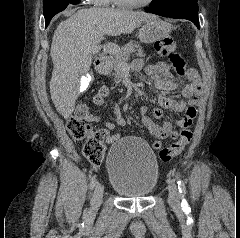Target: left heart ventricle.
Instances as JSON below:
<instances>
[{"label": "left heart ventricle", "instance_id": "obj_1", "mask_svg": "<svg viewBox=\"0 0 240 238\" xmlns=\"http://www.w3.org/2000/svg\"><path fill=\"white\" fill-rule=\"evenodd\" d=\"M125 1L140 3V2H144V1H146V0H125Z\"/></svg>", "mask_w": 240, "mask_h": 238}]
</instances>
